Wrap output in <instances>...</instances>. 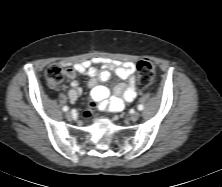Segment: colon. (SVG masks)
I'll list each match as a JSON object with an SVG mask.
<instances>
[{"label":"colon","mask_w":222,"mask_h":187,"mask_svg":"<svg viewBox=\"0 0 222 187\" xmlns=\"http://www.w3.org/2000/svg\"><path fill=\"white\" fill-rule=\"evenodd\" d=\"M138 87L143 90L150 87L154 81L156 74V65L149 60H141L137 64ZM47 80L53 85H59L64 80V70L58 64H51L45 72ZM96 106L95 102L91 103V107Z\"/></svg>","instance_id":"1"}]
</instances>
